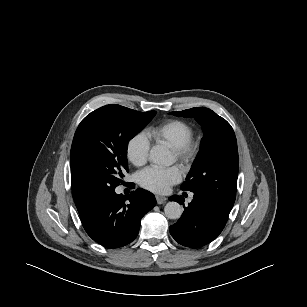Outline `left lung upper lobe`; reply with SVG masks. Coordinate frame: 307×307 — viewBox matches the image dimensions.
I'll use <instances>...</instances> for the list:
<instances>
[{"mask_svg":"<svg viewBox=\"0 0 307 307\" xmlns=\"http://www.w3.org/2000/svg\"><path fill=\"white\" fill-rule=\"evenodd\" d=\"M170 114L194 117L205 133L181 189L204 194L231 210L236 198L239 167L237 142L231 125L208 108L196 107Z\"/></svg>","mask_w":307,"mask_h":307,"instance_id":"5c2ea615","label":"left lung upper lobe"}]
</instances>
